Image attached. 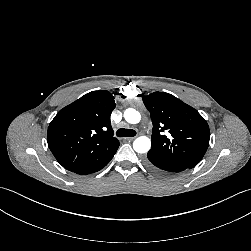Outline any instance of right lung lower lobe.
Here are the masks:
<instances>
[{
	"mask_svg": "<svg viewBox=\"0 0 251 251\" xmlns=\"http://www.w3.org/2000/svg\"><path fill=\"white\" fill-rule=\"evenodd\" d=\"M117 151V150H116ZM116 151L110 155L103 163H101L100 165L98 166H95V167H92V168H88V169H85V170H82L80 172H77V174H80V175H86V174H91V173H94V172H97L99 170H101L102 168H104V166H106L108 164V162L113 158L114 154L116 153Z\"/></svg>",
	"mask_w": 251,
	"mask_h": 251,
	"instance_id": "1",
	"label": "right lung lower lobe"
}]
</instances>
